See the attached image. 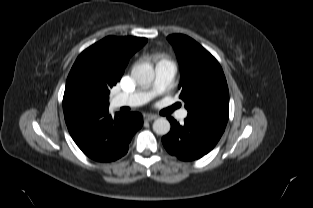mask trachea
Listing matches in <instances>:
<instances>
[{"mask_svg":"<svg viewBox=\"0 0 313 208\" xmlns=\"http://www.w3.org/2000/svg\"><path fill=\"white\" fill-rule=\"evenodd\" d=\"M178 107H180V105H178V104L174 105L173 107H171L170 112H172L174 109H176Z\"/></svg>","mask_w":313,"mask_h":208,"instance_id":"obj_1","label":"trachea"}]
</instances>
